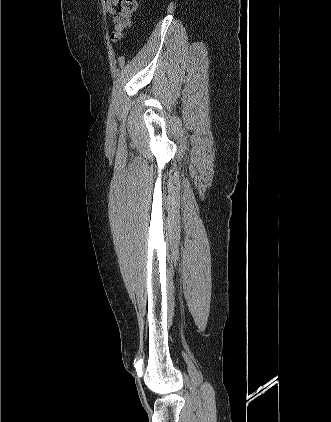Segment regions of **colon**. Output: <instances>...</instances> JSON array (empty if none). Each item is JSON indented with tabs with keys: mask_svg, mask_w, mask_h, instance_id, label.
Wrapping results in <instances>:
<instances>
[{
	"mask_svg": "<svg viewBox=\"0 0 331 422\" xmlns=\"http://www.w3.org/2000/svg\"><path fill=\"white\" fill-rule=\"evenodd\" d=\"M137 8V0H119V6L114 18V30L111 38L114 42L123 39L124 31L130 27L131 19Z\"/></svg>",
	"mask_w": 331,
	"mask_h": 422,
	"instance_id": "1",
	"label": "colon"
}]
</instances>
